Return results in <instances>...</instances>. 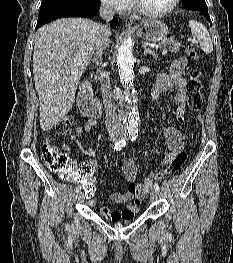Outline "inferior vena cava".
<instances>
[{
	"label": "inferior vena cava",
	"mask_w": 233,
	"mask_h": 263,
	"mask_svg": "<svg viewBox=\"0 0 233 263\" xmlns=\"http://www.w3.org/2000/svg\"><path fill=\"white\" fill-rule=\"evenodd\" d=\"M100 16L105 21H110L114 17V8L108 1H103L100 9ZM99 38L96 44V54H97V65L102 62L103 50L109 47L108 37L111 34L110 28L106 24L99 25ZM100 81L103 103L106 108V126L109 131L118 130L123 128L122 119L115 115L116 106L112 101L109 94L110 89V77L106 71H100Z\"/></svg>",
	"instance_id": "obj_1"
}]
</instances>
